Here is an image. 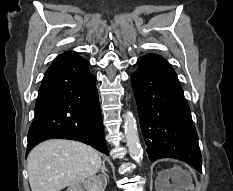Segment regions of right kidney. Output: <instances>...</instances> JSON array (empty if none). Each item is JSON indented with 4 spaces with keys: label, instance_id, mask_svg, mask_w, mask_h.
<instances>
[{
    "label": "right kidney",
    "instance_id": "obj_1",
    "mask_svg": "<svg viewBox=\"0 0 233 191\" xmlns=\"http://www.w3.org/2000/svg\"><path fill=\"white\" fill-rule=\"evenodd\" d=\"M85 187L88 191H104L107 181H102L96 176L90 177L87 181L84 182ZM67 191H82L79 186H72Z\"/></svg>",
    "mask_w": 233,
    "mask_h": 191
}]
</instances>
